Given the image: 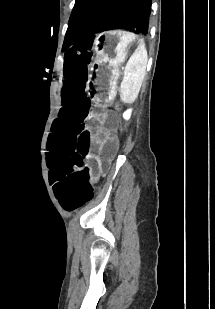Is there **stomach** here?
<instances>
[{"label":"stomach","mask_w":215,"mask_h":309,"mask_svg":"<svg viewBox=\"0 0 215 309\" xmlns=\"http://www.w3.org/2000/svg\"><path fill=\"white\" fill-rule=\"evenodd\" d=\"M141 45L142 40L133 32L109 30L96 37L95 57L88 75V87L94 89V100H108L116 89L119 67L131 48Z\"/></svg>","instance_id":"stomach-1"}]
</instances>
